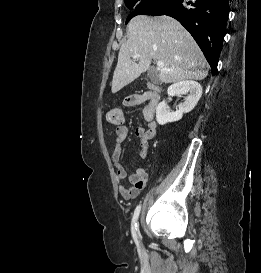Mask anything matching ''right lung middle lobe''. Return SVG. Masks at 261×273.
<instances>
[{"label": "right lung middle lobe", "instance_id": "right-lung-middle-lobe-1", "mask_svg": "<svg viewBox=\"0 0 261 273\" xmlns=\"http://www.w3.org/2000/svg\"><path fill=\"white\" fill-rule=\"evenodd\" d=\"M126 6L132 9L133 12L127 18V22L134 16L140 14H148L153 9L160 7L170 0H124Z\"/></svg>", "mask_w": 261, "mask_h": 273}]
</instances>
